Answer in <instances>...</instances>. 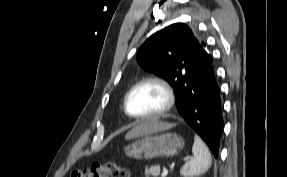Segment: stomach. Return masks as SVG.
<instances>
[{
	"instance_id": "0dacf381",
	"label": "stomach",
	"mask_w": 287,
	"mask_h": 177,
	"mask_svg": "<svg viewBox=\"0 0 287 177\" xmlns=\"http://www.w3.org/2000/svg\"><path fill=\"white\" fill-rule=\"evenodd\" d=\"M185 140L176 133L145 134L125 147V154L135 159L172 157L183 149Z\"/></svg>"
}]
</instances>
